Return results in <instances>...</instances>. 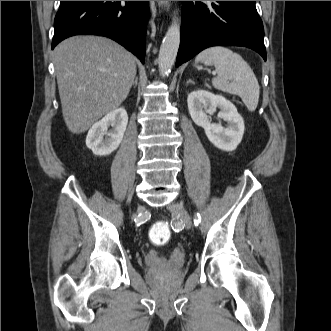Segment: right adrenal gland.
Returning a JSON list of instances; mask_svg holds the SVG:
<instances>
[{"instance_id": "2a0ac1e0", "label": "right adrenal gland", "mask_w": 331, "mask_h": 331, "mask_svg": "<svg viewBox=\"0 0 331 331\" xmlns=\"http://www.w3.org/2000/svg\"><path fill=\"white\" fill-rule=\"evenodd\" d=\"M137 83H138V78L136 77L134 82H133V85L136 87L137 86Z\"/></svg>"}]
</instances>
